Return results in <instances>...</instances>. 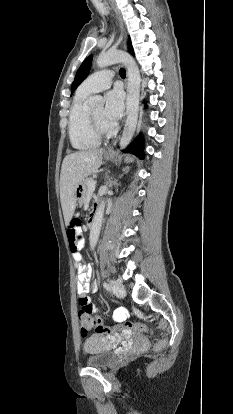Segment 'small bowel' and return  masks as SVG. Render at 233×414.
<instances>
[{
	"mask_svg": "<svg viewBox=\"0 0 233 414\" xmlns=\"http://www.w3.org/2000/svg\"><path fill=\"white\" fill-rule=\"evenodd\" d=\"M80 249L82 252L86 251V248L83 247V243L80 245ZM80 249L76 252H72L73 259H74V267L77 271V293L80 297H86L89 301L90 298L87 296L91 289H95L96 286H90V280L92 275L91 266L86 264L83 261L82 254L80 253ZM91 302V301H90ZM93 309H95L94 304ZM111 308L110 306L108 307ZM128 317V311L125 308H117L113 311L112 319L115 322H122Z\"/></svg>",
	"mask_w": 233,
	"mask_h": 414,
	"instance_id": "1",
	"label": "small bowel"
}]
</instances>
